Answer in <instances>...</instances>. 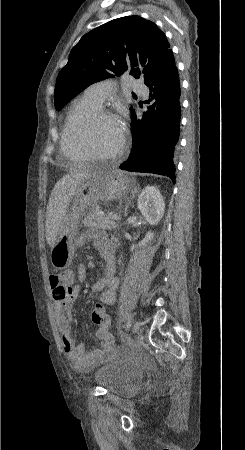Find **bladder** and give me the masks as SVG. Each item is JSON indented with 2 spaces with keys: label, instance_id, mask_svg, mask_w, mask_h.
Masks as SVG:
<instances>
[{
  "label": "bladder",
  "instance_id": "obj_1",
  "mask_svg": "<svg viewBox=\"0 0 245 450\" xmlns=\"http://www.w3.org/2000/svg\"><path fill=\"white\" fill-rule=\"evenodd\" d=\"M92 381L109 392L127 396L130 390L139 384L140 374L128 360H119L96 368L92 374Z\"/></svg>",
  "mask_w": 245,
  "mask_h": 450
}]
</instances>
